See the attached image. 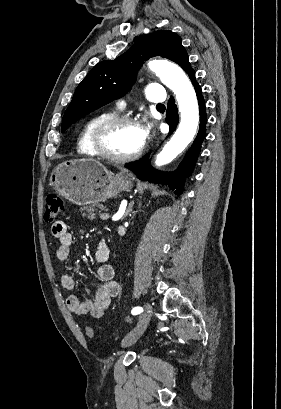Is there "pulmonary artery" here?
<instances>
[{
	"mask_svg": "<svg viewBox=\"0 0 281 409\" xmlns=\"http://www.w3.org/2000/svg\"><path fill=\"white\" fill-rule=\"evenodd\" d=\"M146 88L147 90L142 93V96L149 99L151 103H162L165 100V87L162 86L161 81H147ZM118 103L123 105L125 100L120 98Z\"/></svg>",
	"mask_w": 281,
	"mask_h": 409,
	"instance_id": "obj_1",
	"label": "pulmonary artery"
}]
</instances>
